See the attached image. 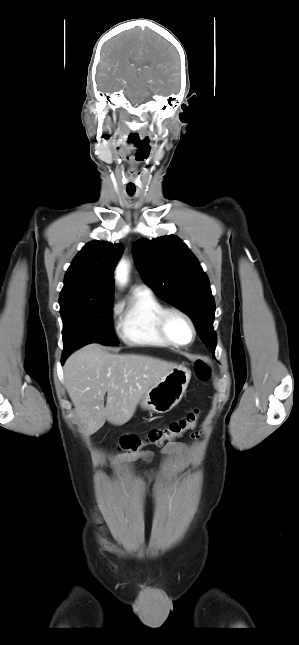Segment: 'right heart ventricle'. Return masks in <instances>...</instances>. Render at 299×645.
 Returning a JSON list of instances; mask_svg holds the SVG:
<instances>
[{
  "mask_svg": "<svg viewBox=\"0 0 299 645\" xmlns=\"http://www.w3.org/2000/svg\"><path fill=\"white\" fill-rule=\"evenodd\" d=\"M164 308L151 291L134 290L126 304L118 308L117 330L121 339L136 346H170L157 325Z\"/></svg>",
  "mask_w": 299,
  "mask_h": 645,
  "instance_id": "right-heart-ventricle-1",
  "label": "right heart ventricle"
}]
</instances>
